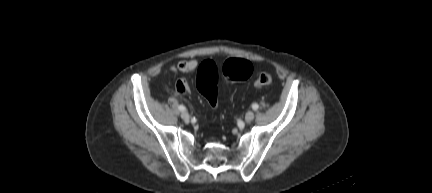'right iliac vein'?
I'll use <instances>...</instances> for the list:
<instances>
[{"label":"right iliac vein","instance_id":"right-iliac-vein-1","mask_svg":"<svg viewBox=\"0 0 432 193\" xmlns=\"http://www.w3.org/2000/svg\"><path fill=\"white\" fill-rule=\"evenodd\" d=\"M181 118L184 120V121H189V114H188V112H186V111H183L182 113H181Z\"/></svg>","mask_w":432,"mask_h":193}]
</instances>
